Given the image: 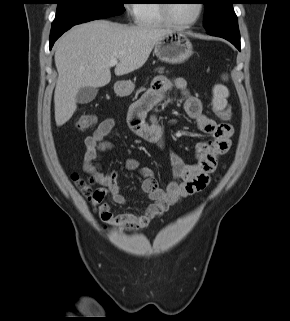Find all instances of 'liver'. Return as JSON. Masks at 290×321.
Returning a JSON list of instances; mask_svg holds the SVG:
<instances>
[{
	"mask_svg": "<svg viewBox=\"0 0 290 321\" xmlns=\"http://www.w3.org/2000/svg\"><path fill=\"white\" fill-rule=\"evenodd\" d=\"M171 30L149 25L126 26L106 20L76 25L55 45L58 80L54 93L55 121L65 124L77 109L82 87H103L111 81V59L119 60L115 75L141 68L163 36Z\"/></svg>",
	"mask_w": 290,
	"mask_h": 321,
	"instance_id": "6515ba94",
	"label": "liver"
}]
</instances>
